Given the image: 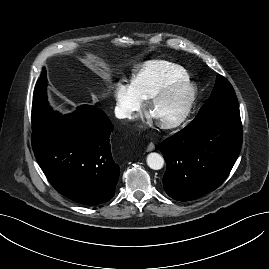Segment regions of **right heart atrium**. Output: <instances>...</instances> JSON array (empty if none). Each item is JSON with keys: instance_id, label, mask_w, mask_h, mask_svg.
I'll return each mask as SVG.
<instances>
[{"instance_id": "d8ad5b80", "label": "right heart atrium", "mask_w": 269, "mask_h": 269, "mask_svg": "<svg viewBox=\"0 0 269 269\" xmlns=\"http://www.w3.org/2000/svg\"><path fill=\"white\" fill-rule=\"evenodd\" d=\"M114 99L116 114L122 119H133L144 106V100L132 83L118 82L114 87Z\"/></svg>"}]
</instances>
